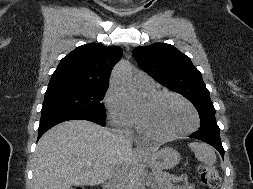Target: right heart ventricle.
Segmentation results:
<instances>
[{"label":"right heart ventricle","instance_id":"e07e8e85","mask_svg":"<svg viewBox=\"0 0 253 189\" xmlns=\"http://www.w3.org/2000/svg\"><path fill=\"white\" fill-rule=\"evenodd\" d=\"M143 93L148 97V96L154 94L155 91H154V90H151V91H148V92H144V91H143Z\"/></svg>","mask_w":253,"mask_h":189}]
</instances>
